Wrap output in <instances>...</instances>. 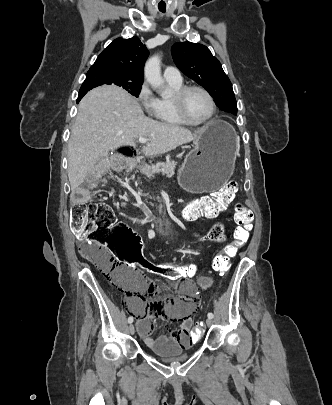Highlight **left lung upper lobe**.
I'll list each match as a JSON object with an SVG mask.
<instances>
[{
	"mask_svg": "<svg viewBox=\"0 0 332 405\" xmlns=\"http://www.w3.org/2000/svg\"><path fill=\"white\" fill-rule=\"evenodd\" d=\"M171 53L176 66L189 78L203 86L214 98L217 106L237 114V102L228 76L210 50L191 42L175 43Z\"/></svg>",
	"mask_w": 332,
	"mask_h": 405,
	"instance_id": "1",
	"label": "left lung upper lobe"
}]
</instances>
